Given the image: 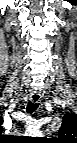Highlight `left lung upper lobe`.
I'll use <instances>...</instances> for the list:
<instances>
[{
  "mask_svg": "<svg viewBox=\"0 0 77 143\" xmlns=\"http://www.w3.org/2000/svg\"><path fill=\"white\" fill-rule=\"evenodd\" d=\"M77 137V116L75 114H65L62 126L59 130L60 140L75 141ZM62 141V142H65Z\"/></svg>",
  "mask_w": 77,
  "mask_h": 143,
  "instance_id": "1",
  "label": "left lung upper lobe"
}]
</instances>
